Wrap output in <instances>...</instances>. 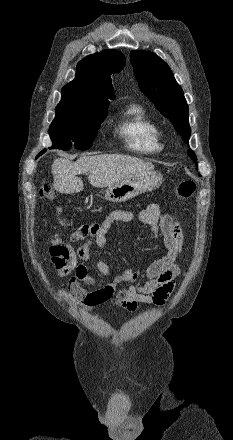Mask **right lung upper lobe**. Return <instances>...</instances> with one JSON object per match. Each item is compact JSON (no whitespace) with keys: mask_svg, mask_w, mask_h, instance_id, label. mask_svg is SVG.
Wrapping results in <instances>:
<instances>
[{"mask_svg":"<svg viewBox=\"0 0 233 440\" xmlns=\"http://www.w3.org/2000/svg\"><path fill=\"white\" fill-rule=\"evenodd\" d=\"M125 65V56L117 50H104L81 60L76 78L62 89L59 104L108 106L114 99L111 75Z\"/></svg>","mask_w":233,"mask_h":440,"instance_id":"cb5924a9","label":"right lung upper lobe"}]
</instances>
